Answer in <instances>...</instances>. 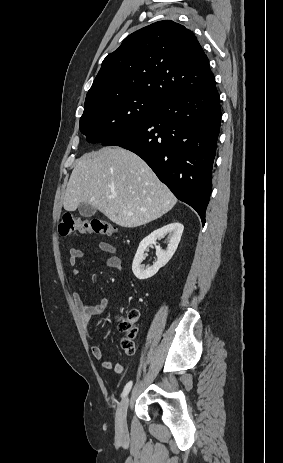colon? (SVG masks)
Returning a JSON list of instances; mask_svg holds the SVG:
<instances>
[{
	"label": "colon",
	"mask_w": 283,
	"mask_h": 463,
	"mask_svg": "<svg viewBox=\"0 0 283 463\" xmlns=\"http://www.w3.org/2000/svg\"><path fill=\"white\" fill-rule=\"evenodd\" d=\"M59 232L63 236L70 235L74 232L114 236L117 229L110 222L98 217L80 218L65 214L59 224ZM138 319L139 311L136 309L128 311L124 316L118 319L119 329L123 334L122 347L127 355H132L135 351L133 339L137 333Z\"/></svg>",
	"instance_id": "5ec220e1"
}]
</instances>
